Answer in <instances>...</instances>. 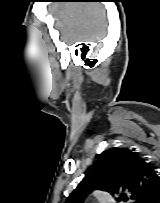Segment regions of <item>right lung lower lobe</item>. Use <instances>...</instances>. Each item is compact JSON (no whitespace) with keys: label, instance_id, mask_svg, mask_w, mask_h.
Masks as SVG:
<instances>
[{"label":"right lung lower lobe","instance_id":"1","mask_svg":"<svg viewBox=\"0 0 160 203\" xmlns=\"http://www.w3.org/2000/svg\"><path fill=\"white\" fill-rule=\"evenodd\" d=\"M149 203H160V194H158L153 200H151Z\"/></svg>","mask_w":160,"mask_h":203}]
</instances>
